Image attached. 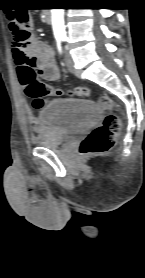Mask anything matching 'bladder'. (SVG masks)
<instances>
[{
    "instance_id": "1",
    "label": "bladder",
    "mask_w": 145,
    "mask_h": 278,
    "mask_svg": "<svg viewBox=\"0 0 145 278\" xmlns=\"http://www.w3.org/2000/svg\"><path fill=\"white\" fill-rule=\"evenodd\" d=\"M100 110L93 101L80 98H57L45 103L38 112L34 130L36 147L61 149L71 137L94 126Z\"/></svg>"
}]
</instances>
